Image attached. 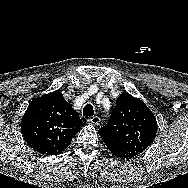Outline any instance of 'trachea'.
<instances>
[{"instance_id":"obj_1","label":"trachea","mask_w":188,"mask_h":188,"mask_svg":"<svg viewBox=\"0 0 188 188\" xmlns=\"http://www.w3.org/2000/svg\"><path fill=\"white\" fill-rule=\"evenodd\" d=\"M94 115V109L91 104H86L83 108V116L91 117Z\"/></svg>"}]
</instances>
